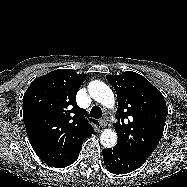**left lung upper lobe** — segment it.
I'll list each match as a JSON object with an SVG mask.
<instances>
[{"mask_svg": "<svg viewBox=\"0 0 187 187\" xmlns=\"http://www.w3.org/2000/svg\"><path fill=\"white\" fill-rule=\"evenodd\" d=\"M106 79L114 87L118 99L116 146L147 159L164 131L168 111L163 95L145 77L132 71L107 75Z\"/></svg>", "mask_w": 187, "mask_h": 187, "instance_id": "5c2ea615", "label": "left lung upper lobe"}]
</instances>
